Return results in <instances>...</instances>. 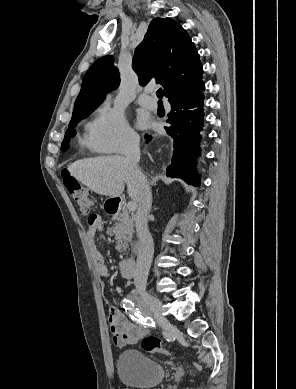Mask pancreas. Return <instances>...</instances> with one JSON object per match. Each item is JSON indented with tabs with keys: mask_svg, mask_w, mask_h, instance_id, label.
<instances>
[{
	"mask_svg": "<svg viewBox=\"0 0 296 389\" xmlns=\"http://www.w3.org/2000/svg\"><path fill=\"white\" fill-rule=\"evenodd\" d=\"M114 225L111 228L112 234L115 235L116 249L119 252L125 251L128 248V243L131 242L134 233V224L127 210H122L112 218Z\"/></svg>",
	"mask_w": 296,
	"mask_h": 389,
	"instance_id": "pancreas-1",
	"label": "pancreas"
}]
</instances>
